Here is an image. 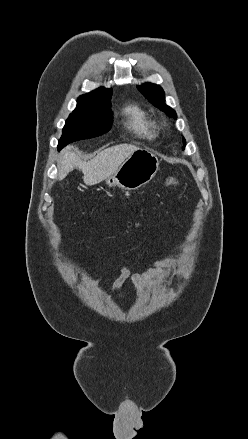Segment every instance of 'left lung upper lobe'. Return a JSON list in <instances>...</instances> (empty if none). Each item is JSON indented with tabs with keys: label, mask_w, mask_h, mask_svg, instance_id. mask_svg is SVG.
I'll return each instance as SVG.
<instances>
[{
	"label": "left lung upper lobe",
	"mask_w": 248,
	"mask_h": 439,
	"mask_svg": "<svg viewBox=\"0 0 248 439\" xmlns=\"http://www.w3.org/2000/svg\"><path fill=\"white\" fill-rule=\"evenodd\" d=\"M138 89L154 106L164 111L168 116L177 118L175 111L165 104V94L160 86L146 83L138 86ZM183 143L186 144L185 139H183Z\"/></svg>",
	"instance_id": "1"
}]
</instances>
